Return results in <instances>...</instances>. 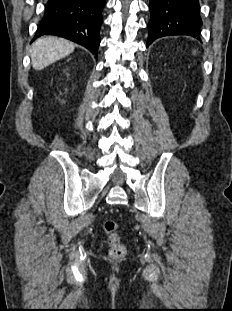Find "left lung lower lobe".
<instances>
[{"label": "left lung lower lobe", "instance_id": "obj_1", "mask_svg": "<svg viewBox=\"0 0 232 311\" xmlns=\"http://www.w3.org/2000/svg\"><path fill=\"white\" fill-rule=\"evenodd\" d=\"M147 46L157 38L189 35L199 38V0H150Z\"/></svg>", "mask_w": 232, "mask_h": 311}]
</instances>
